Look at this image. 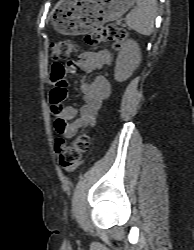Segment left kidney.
I'll return each instance as SVG.
<instances>
[{
    "label": "left kidney",
    "mask_w": 194,
    "mask_h": 250,
    "mask_svg": "<svg viewBox=\"0 0 194 250\" xmlns=\"http://www.w3.org/2000/svg\"><path fill=\"white\" fill-rule=\"evenodd\" d=\"M141 62V52L139 45L129 39L121 48L116 59L115 79L125 81L137 69Z\"/></svg>",
    "instance_id": "5707ae66"
}]
</instances>
